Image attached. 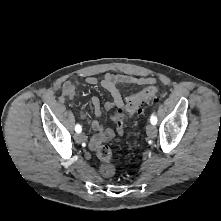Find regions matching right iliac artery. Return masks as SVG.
<instances>
[{"label": "right iliac artery", "instance_id": "obj_1", "mask_svg": "<svg viewBox=\"0 0 221 221\" xmlns=\"http://www.w3.org/2000/svg\"><path fill=\"white\" fill-rule=\"evenodd\" d=\"M81 130H82L81 126H80L79 124H77V125L75 126V131H76L77 133H80Z\"/></svg>", "mask_w": 221, "mask_h": 221}]
</instances>
